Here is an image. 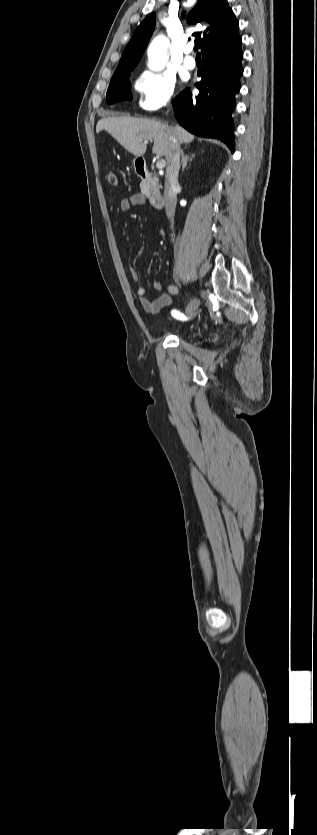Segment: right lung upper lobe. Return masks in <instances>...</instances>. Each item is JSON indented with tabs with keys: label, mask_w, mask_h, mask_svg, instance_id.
I'll use <instances>...</instances> for the list:
<instances>
[{
	"label": "right lung upper lobe",
	"mask_w": 317,
	"mask_h": 835,
	"mask_svg": "<svg viewBox=\"0 0 317 835\" xmlns=\"http://www.w3.org/2000/svg\"><path fill=\"white\" fill-rule=\"evenodd\" d=\"M189 27H198L194 32L201 52L214 42L231 39L239 34V23L227 0H198V4L187 14ZM155 27V13L149 14L137 27L124 50L116 71L134 69L138 64Z\"/></svg>",
	"instance_id": "right-lung-upper-lobe-1"
}]
</instances>
